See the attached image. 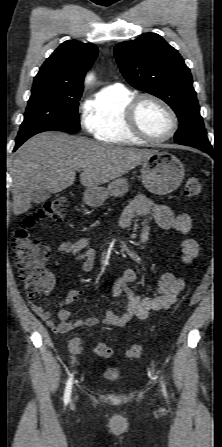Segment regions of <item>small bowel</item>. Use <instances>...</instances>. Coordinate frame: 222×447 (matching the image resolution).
I'll list each match as a JSON object with an SVG mask.
<instances>
[{
  "mask_svg": "<svg viewBox=\"0 0 222 447\" xmlns=\"http://www.w3.org/2000/svg\"><path fill=\"white\" fill-rule=\"evenodd\" d=\"M152 214L156 224L163 230H175L183 235L180 243L181 262L190 263L199 254L198 243L188 237L193 221L189 214L181 213L176 215L171 208L166 205L155 203L145 195H137L126 207L124 213L118 221L120 229L129 227L134 219L143 218ZM57 250L62 253H68L78 261H83L82 270L85 273H91L94 270V261L96 250L90 247V240L82 238L74 242L65 241L58 245ZM136 271L131 268H125L120 275L115 278L111 287V294L115 298L123 299L127 308L125 312L116 313L108 310L104 313L102 322L110 326H123L131 318L147 319L152 312L169 311L177 302L178 295L185 288V282L181 277L172 272L164 273L159 281V285L154 297H144L134 292L130 284L137 280ZM55 285L54 277L43 287V294L48 296ZM83 295L81 289H71L68 291L64 303L66 305L74 303ZM30 308L33 312L46 323V325L56 333H68L74 329L82 327H93L99 323L97 317H88L86 319L70 321L72 312L70 309L63 308L59 311V322L54 321L51 315L42 306L31 302ZM70 351L73 354H80L83 351V341L80 338H73L69 343Z\"/></svg>",
  "mask_w": 222,
  "mask_h": 447,
  "instance_id": "obj_1",
  "label": "small bowel"
}]
</instances>
